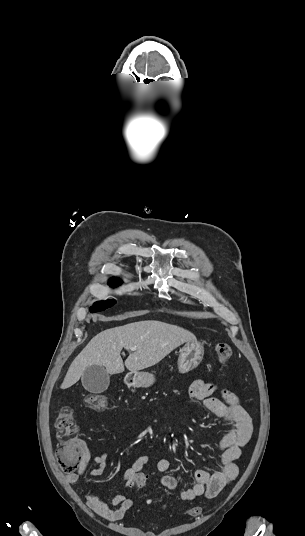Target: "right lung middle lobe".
I'll use <instances>...</instances> for the list:
<instances>
[{"label": "right lung middle lobe", "mask_w": 305, "mask_h": 536, "mask_svg": "<svg viewBox=\"0 0 305 536\" xmlns=\"http://www.w3.org/2000/svg\"><path fill=\"white\" fill-rule=\"evenodd\" d=\"M120 282H110V285L117 286ZM116 303L115 300L98 301L90 307V312L103 311L106 308L112 307Z\"/></svg>", "instance_id": "right-lung-middle-lobe-1"}]
</instances>
